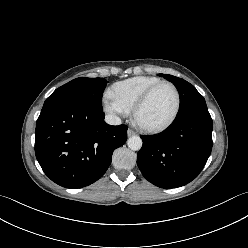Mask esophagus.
I'll list each match as a JSON object with an SVG mask.
<instances>
[{
	"mask_svg": "<svg viewBox=\"0 0 248 248\" xmlns=\"http://www.w3.org/2000/svg\"><path fill=\"white\" fill-rule=\"evenodd\" d=\"M127 135H128V136L135 135V131L129 128V129L127 130Z\"/></svg>",
	"mask_w": 248,
	"mask_h": 248,
	"instance_id": "1",
	"label": "esophagus"
}]
</instances>
